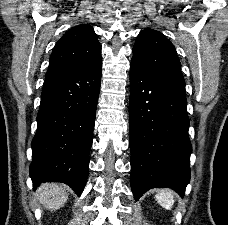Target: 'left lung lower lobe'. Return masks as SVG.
<instances>
[{
	"mask_svg": "<svg viewBox=\"0 0 228 225\" xmlns=\"http://www.w3.org/2000/svg\"><path fill=\"white\" fill-rule=\"evenodd\" d=\"M129 129L131 188L136 200L152 188L181 196L190 180L192 146L185 81L155 75L131 62Z\"/></svg>",
	"mask_w": 228,
	"mask_h": 225,
	"instance_id": "1",
	"label": "left lung lower lobe"
}]
</instances>
